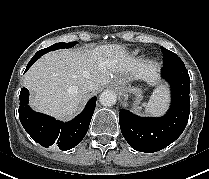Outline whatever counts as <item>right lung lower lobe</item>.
<instances>
[{
  "mask_svg": "<svg viewBox=\"0 0 209 179\" xmlns=\"http://www.w3.org/2000/svg\"><path fill=\"white\" fill-rule=\"evenodd\" d=\"M41 56L34 55L25 71ZM28 97V89L22 88L19 96V118L22 126L34 141L45 148L51 145L58 146L63 151L75 147L82 141L94 113L96 97L88 101L84 110L77 117L65 123L33 111L28 105Z\"/></svg>",
  "mask_w": 209,
  "mask_h": 179,
  "instance_id": "98d812e1",
  "label": "right lung lower lobe"
}]
</instances>
